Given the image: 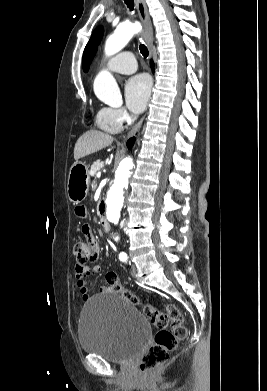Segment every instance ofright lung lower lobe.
I'll list each match as a JSON object with an SVG mask.
<instances>
[{
    "mask_svg": "<svg viewBox=\"0 0 267 391\" xmlns=\"http://www.w3.org/2000/svg\"><path fill=\"white\" fill-rule=\"evenodd\" d=\"M151 63H152V65H151V67H152V70H154L153 69V62L151 61ZM134 137L133 138H131V139H129L128 141H127V147L128 148H131L132 147V145H133V142H134Z\"/></svg>",
    "mask_w": 267,
    "mask_h": 391,
    "instance_id": "right-lung-lower-lobe-1",
    "label": "right lung lower lobe"
}]
</instances>
